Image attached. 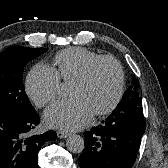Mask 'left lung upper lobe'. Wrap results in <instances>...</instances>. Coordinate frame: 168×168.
<instances>
[{
    "mask_svg": "<svg viewBox=\"0 0 168 168\" xmlns=\"http://www.w3.org/2000/svg\"><path fill=\"white\" fill-rule=\"evenodd\" d=\"M138 87V81L134 77V75H132V86L125 91L123 98L119 102L116 109H121L125 107L142 108V99L139 96Z\"/></svg>",
    "mask_w": 168,
    "mask_h": 168,
    "instance_id": "5c2ea615",
    "label": "left lung upper lobe"
}]
</instances>
